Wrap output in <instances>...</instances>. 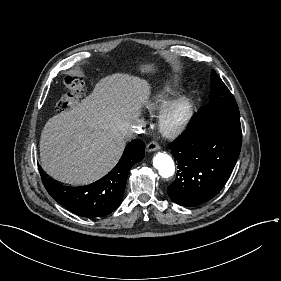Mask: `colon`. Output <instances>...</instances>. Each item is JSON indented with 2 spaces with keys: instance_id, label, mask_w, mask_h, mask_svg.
I'll use <instances>...</instances> for the list:
<instances>
[{
  "instance_id": "1",
  "label": "colon",
  "mask_w": 281,
  "mask_h": 281,
  "mask_svg": "<svg viewBox=\"0 0 281 281\" xmlns=\"http://www.w3.org/2000/svg\"><path fill=\"white\" fill-rule=\"evenodd\" d=\"M85 73L67 74L64 77L66 91L60 96L56 109L59 113H66L73 109L80 100V92L84 86Z\"/></svg>"
}]
</instances>
